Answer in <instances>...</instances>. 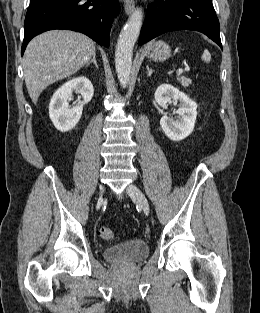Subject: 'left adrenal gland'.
<instances>
[{
	"label": "left adrenal gland",
	"instance_id": "left-adrenal-gland-1",
	"mask_svg": "<svg viewBox=\"0 0 260 313\" xmlns=\"http://www.w3.org/2000/svg\"><path fill=\"white\" fill-rule=\"evenodd\" d=\"M146 68H147L148 76H151V74L154 72V70L150 69L148 65L146 66Z\"/></svg>",
	"mask_w": 260,
	"mask_h": 313
}]
</instances>
